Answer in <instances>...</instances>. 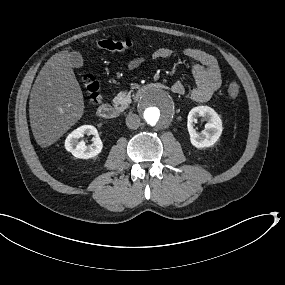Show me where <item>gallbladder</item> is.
<instances>
[{
    "label": "gallbladder",
    "mask_w": 285,
    "mask_h": 285,
    "mask_svg": "<svg viewBox=\"0 0 285 285\" xmlns=\"http://www.w3.org/2000/svg\"><path fill=\"white\" fill-rule=\"evenodd\" d=\"M69 59L73 67L83 66V58L79 52H71Z\"/></svg>",
    "instance_id": "obj_1"
}]
</instances>
